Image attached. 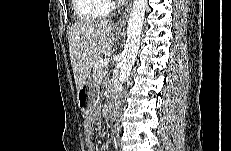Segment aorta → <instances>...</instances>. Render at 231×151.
<instances>
[{"label":"aorta","mask_w":231,"mask_h":151,"mask_svg":"<svg viewBox=\"0 0 231 151\" xmlns=\"http://www.w3.org/2000/svg\"><path fill=\"white\" fill-rule=\"evenodd\" d=\"M147 7V0H134L127 27V41L120 62L119 81L125 82L131 72L140 46L141 31Z\"/></svg>","instance_id":"obj_1"}]
</instances>
